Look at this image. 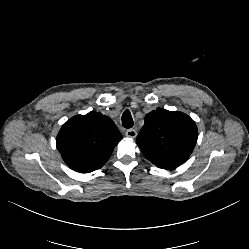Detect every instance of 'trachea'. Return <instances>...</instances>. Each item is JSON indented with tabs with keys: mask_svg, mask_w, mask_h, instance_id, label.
Segmentation results:
<instances>
[{
	"mask_svg": "<svg viewBox=\"0 0 249 249\" xmlns=\"http://www.w3.org/2000/svg\"><path fill=\"white\" fill-rule=\"evenodd\" d=\"M122 125L127 129L133 126V119L131 113L128 110H126L122 115Z\"/></svg>",
	"mask_w": 249,
	"mask_h": 249,
	"instance_id": "obj_1",
	"label": "trachea"
}]
</instances>
